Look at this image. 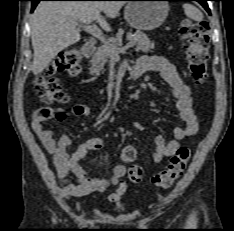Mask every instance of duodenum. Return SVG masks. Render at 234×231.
<instances>
[{"instance_id": "obj_1", "label": "duodenum", "mask_w": 234, "mask_h": 231, "mask_svg": "<svg viewBox=\"0 0 234 231\" xmlns=\"http://www.w3.org/2000/svg\"><path fill=\"white\" fill-rule=\"evenodd\" d=\"M95 51H96V43L93 41H88L87 43L84 44L82 48V53L86 58L92 57ZM145 71H146L145 67L136 64L135 68L131 73L130 77L131 81L132 82L137 81Z\"/></svg>"}]
</instances>
